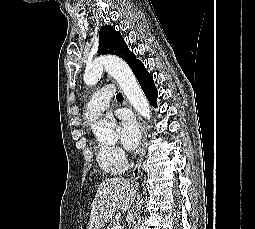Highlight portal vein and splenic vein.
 Returning <instances> with one entry per match:
<instances>
[{"mask_svg": "<svg viewBox=\"0 0 255 229\" xmlns=\"http://www.w3.org/2000/svg\"><path fill=\"white\" fill-rule=\"evenodd\" d=\"M114 229H121V225L117 223Z\"/></svg>", "mask_w": 255, "mask_h": 229, "instance_id": "18ae733b", "label": "portal vein and splenic vein"}]
</instances>
